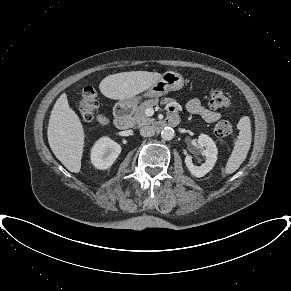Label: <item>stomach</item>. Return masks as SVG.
<instances>
[{
  "instance_id": "stomach-1",
  "label": "stomach",
  "mask_w": 291,
  "mask_h": 291,
  "mask_svg": "<svg viewBox=\"0 0 291 291\" xmlns=\"http://www.w3.org/2000/svg\"><path fill=\"white\" fill-rule=\"evenodd\" d=\"M184 85V79L180 73L167 71L161 78L152 85L144 94L130 98L122 99L118 105L122 108L133 109L142 100V98L161 97L169 91L180 90Z\"/></svg>"
}]
</instances>
